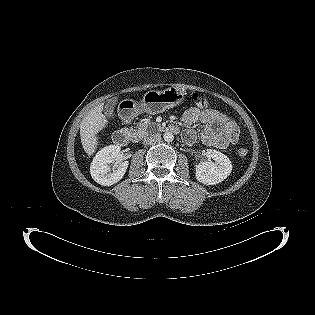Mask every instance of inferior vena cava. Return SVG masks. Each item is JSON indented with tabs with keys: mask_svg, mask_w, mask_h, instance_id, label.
I'll return each mask as SVG.
<instances>
[{
	"mask_svg": "<svg viewBox=\"0 0 315 315\" xmlns=\"http://www.w3.org/2000/svg\"><path fill=\"white\" fill-rule=\"evenodd\" d=\"M161 140V135L156 133L149 136H146L143 140L144 145H150L156 142H159Z\"/></svg>",
	"mask_w": 315,
	"mask_h": 315,
	"instance_id": "1",
	"label": "inferior vena cava"
}]
</instances>
